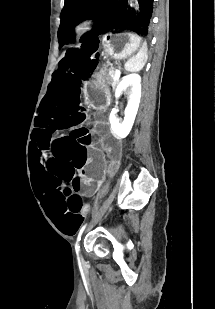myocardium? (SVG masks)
<instances>
[{
  "instance_id": "obj_1",
  "label": "myocardium",
  "mask_w": 215,
  "mask_h": 309,
  "mask_svg": "<svg viewBox=\"0 0 215 309\" xmlns=\"http://www.w3.org/2000/svg\"><path fill=\"white\" fill-rule=\"evenodd\" d=\"M83 32V28L82 27H78L77 29H76V33L77 34H81Z\"/></svg>"
}]
</instances>
